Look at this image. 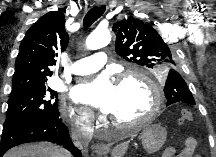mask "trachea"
<instances>
[{"instance_id":"3493384b","label":"trachea","mask_w":216,"mask_h":157,"mask_svg":"<svg viewBox=\"0 0 216 157\" xmlns=\"http://www.w3.org/2000/svg\"><path fill=\"white\" fill-rule=\"evenodd\" d=\"M106 10V6H95L91 8L85 15L83 20L84 27L91 26L98 18H100Z\"/></svg>"}]
</instances>
